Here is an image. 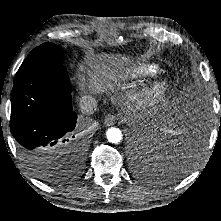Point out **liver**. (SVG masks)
<instances>
[{
  "instance_id": "liver-1",
  "label": "liver",
  "mask_w": 221,
  "mask_h": 221,
  "mask_svg": "<svg viewBox=\"0 0 221 221\" xmlns=\"http://www.w3.org/2000/svg\"><path fill=\"white\" fill-rule=\"evenodd\" d=\"M130 65L129 58L125 56L92 54L80 65V69L84 74L79 75V86L91 94L114 91L111 81L120 86L123 75L130 71ZM54 160L46 157L39 164L49 167Z\"/></svg>"
}]
</instances>
